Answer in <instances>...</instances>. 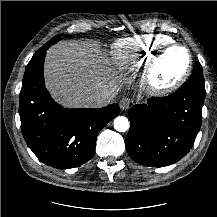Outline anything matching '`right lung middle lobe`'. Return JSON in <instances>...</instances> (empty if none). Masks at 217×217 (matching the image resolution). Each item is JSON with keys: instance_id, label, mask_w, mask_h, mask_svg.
Returning <instances> with one entry per match:
<instances>
[{"instance_id": "1", "label": "right lung middle lobe", "mask_w": 217, "mask_h": 217, "mask_svg": "<svg viewBox=\"0 0 217 217\" xmlns=\"http://www.w3.org/2000/svg\"><path fill=\"white\" fill-rule=\"evenodd\" d=\"M61 34L56 35L51 40H49L43 47H41L36 53H38L41 49H48L51 45L55 44L59 41Z\"/></svg>"}]
</instances>
